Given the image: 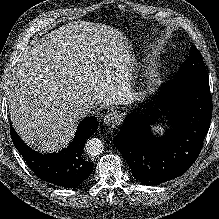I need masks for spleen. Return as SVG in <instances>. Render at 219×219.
<instances>
[{
    "label": "spleen",
    "mask_w": 219,
    "mask_h": 219,
    "mask_svg": "<svg viewBox=\"0 0 219 219\" xmlns=\"http://www.w3.org/2000/svg\"><path fill=\"white\" fill-rule=\"evenodd\" d=\"M163 131H164V128L161 126H156L153 128V132H156V133H162Z\"/></svg>",
    "instance_id": "obj_1"
}]
</instances>
